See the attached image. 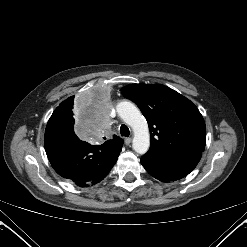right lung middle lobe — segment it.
I'll list each match as a JSON object with an SVG mask.
<instances>
[{
  "label": "right lung middle lobe",
  "instance_id": "1",
  "mask_svg": "<svg viewBox=\"0 0 247 247\" xmlns=\"http://www.w3.org/2000/svg\"><path fill=\"white\" fill-rule=\"evenodd\" d=\"M72 105L62 108L57 112H53L54 116L50 118L49 121H51L52 123L61 124V125H64V126H67L73 129L75 120L72 116Z\"/></svg>",
  "mask_w": 247,
  "mask_h": 247
}]
</instances>
